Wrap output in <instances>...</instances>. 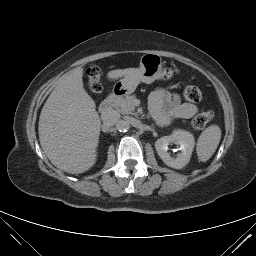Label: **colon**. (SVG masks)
Segmentation results:
<instances>
[{
    "mask_svg": "<svg viewBox=\"0 0 256 256\" xmlns=\"http://www.w3.org/2000/svg\"><path fill=\"white\" fill-rule=\"evenodd\" d=\"M88 87L94 94H98L102 90V84L100 80V72L98 68L92 67L87 72ZM184 97L186 100L197 103L202 99V92L197 86H187L184 89ZM213 111H205L195 116L191 122L194 129H203L210 121L214 119Z\"/></svg>",
    "mask_w": 256,
    "mask_h": 256,
    "instance_id": "1",
    "label": "colon"
}]
</instances>
